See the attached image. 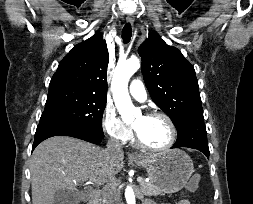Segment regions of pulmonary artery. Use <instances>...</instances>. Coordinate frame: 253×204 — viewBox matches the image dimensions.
Listing matches in <instances>:
<instances>
[{
	"instance_id": "1",
	"label": "pulmonary artery",
	"mask_w": 253,
	"mask_h": 204,
	"mask_svg": "<svg viewBox=\"0 0 253 204\" xmlns=\"http://www.w3.org/2000/svg\"><path fill=\"white\" fill-rule=\"evenodd\" d=\"M130 95L139 102L147 99V92L143 82L140 79H134L129 86Z\"/></svg>"
}]
</instances>
